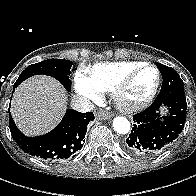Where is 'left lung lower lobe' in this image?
I'll use <instances>...</instances> for the list:
<instances>
[{
	"mask_svg": "<svg viewBox=\"0 0 196 196\" xmlns=\"http://www.w3.org/2000/svg\"><path fill=\"white\" fill-rule=\"evenodd\" d=\"M163 80L174 79L173 74L162 71ZM172 82H174L172 80ZM166 107V115H160V108ZM187 113L185 95H158L144 111L133 115V128L126 139L125 148L139 156H153L161 153L182 132Z\"/></svg>",
	"mask_w": 196,
	"mask_h": 196,
	"instance_id": "left-lung-lower-lobe-1",
	"label": "left lung lower lobe"
}]
</instances>
